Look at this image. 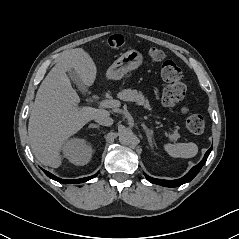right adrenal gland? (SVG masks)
<instances>
[{
    "instance_id": "obj_1",
    "label": "right adrenal gland",
    "mask_w": 239,
    "mask_h": 239,
    "mask_svg": "<svg viewBox=\"0 0 239 239\" xmlns=\"http://www.w3.org/2000/svg\"><path fill=\"white\" fill-rule=\"evenodd\" d=\"M89 128H95V129L99 130V129H100V126H99V125H96V124H90V125H89Z\"/></svg>"
}]
</instances>
